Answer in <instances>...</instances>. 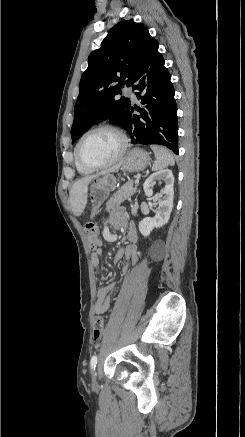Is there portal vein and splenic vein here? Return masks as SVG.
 Instances as JSON below:
<instances>
[{
  "mask_svg": "<svg viewBox=\"0 0 245 437\" xmlns=\"http://www.w3.org/2000/svg\"><path fill=\"white\" fill-rule=\"evenodd\" d=\"M135 183H136V184L139 183V177H136Z\"/></svg>",
  "mask_w": 245,
  "mask_h": 437,
  "instance_id": "obj_1",
  "label": "portal vein and splenic vein"
}]
</instances>
